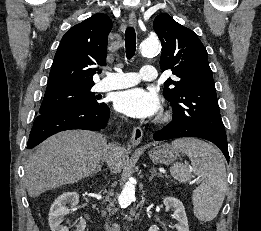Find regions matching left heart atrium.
<instances>
[{"instance_id":"1","label":"left heart atrium","mask_w":261,"mask_h":231,"mask_svg":"<svg viewBox=\"0 0 261 231\" xmlns=\"http://www.w3.org/2000/svg\"><path fill=\"white\" fill-rule=\"evenodd\" d=\"M114 104L117 111L137 118L152 117L160 110L158 95L141 87L119 92Z\"/></svg>"}]
</instances>
